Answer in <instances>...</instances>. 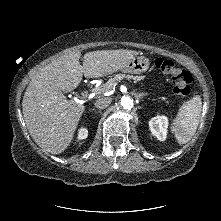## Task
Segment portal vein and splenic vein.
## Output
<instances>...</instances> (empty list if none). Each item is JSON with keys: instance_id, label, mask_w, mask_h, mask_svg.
<instances>
[{"instance_id": "18ae733b", "label": "portal vein and splenic vein", "mask_w": 221, "mask_h": 221, "mask_svg": "<svg viewBox=\"0 0 221 221\" xmlns=\"http://www.w3.org/2000/svg\"><path fill=\"white\" fill-rule=\"evenodd\" d=\"M102 90H105V87H99V88H95L93 89V92H96V91H102Z\"/></svg>"}]
</instances>
